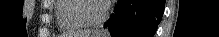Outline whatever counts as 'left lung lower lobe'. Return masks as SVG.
Here are the masks:
<instances>
[{
	"mask_svg": "<svg viewBox=\"0 0 219 37\" xmlns=\"http://www.w3.org/2000/svg\"><path fill=\"white\" fill-rule=\"evenodd\" d=\"M165 0H118L105 23L112 37H153L161 21Z\"/></svg>",
	"mask_w": 219,
	"mask_h": 37,
	"instance_id": "left-lung-lower-lobe-1",
	"label": "left lung lower lobe"
}]
</instances>
